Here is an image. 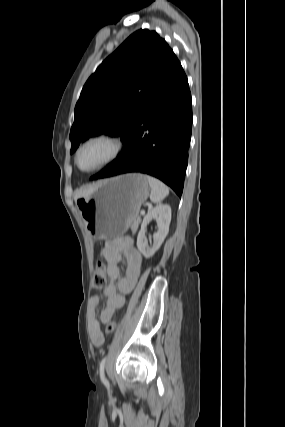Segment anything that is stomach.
<instances>
[{
	"instance_id": "1",
	"label": "stomach",
	"mask_w": 285,
	"mask_h": 427,
	"mask_svg": "<svg viewBox=\"0 0 285 427\" xmlns=\"http://www.w3.org/2000/svg\"><path fill=\"white\" fill-rule=\"evenodd\" d=\"M149 192L147 177L131 173L102 181L90 196L75 203L89 233L111 239L131 226Z\"/></svg>"
}]
</instances>
